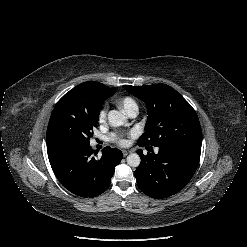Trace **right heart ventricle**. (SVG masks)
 I'll use <instances>...</instances> for the list:
<instances>
[{
	"label": "right heart ventricle",
	"instance_id": "1",
	"mask_svg": "<svg viewBox=\"0 0 247 247\" xmlns=\"http://www.w3.org/2000/svg\"><path fill=\"white\" fill-rule=\"evenodd\" d=\"M121 103L123 105V107L128 111L132 106H137L136 101L129 96L123 97L121 99Z\"/></svg>",
	"mask_w": 247,
	"mask_h": 247
}]
</instances>
